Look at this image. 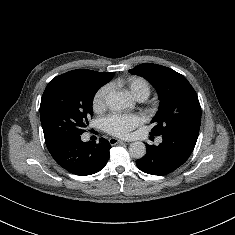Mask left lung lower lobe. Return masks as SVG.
<instances>
[{
	"instance_id": "1",
	"label": "left lung lower lobe",
	"mask_w": 235,
	"mask_h": 235,
	"mask_svg": "<svg viewBox=\"0 0 235 235\" xmlns=\"http://www.w3.org/2000/svg\"><path fill=\"white\" fill-rule=\"evenodd\" d=\"M160 145H147L146 155L136 161L137 167L148 174L166 175L180 167L192 153L198 135L174 132L162 135Z\"/></svg>"
}]
</instances>
